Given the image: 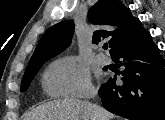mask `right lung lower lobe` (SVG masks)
Instances as JSON below:
<instances>
[{
    "mask_svg": "<svg viewBox=\"0 0 165 120\" xmlns=\"http://www.w3.org/2000/svg\"><path fill=\"white\" fill-rule=\"evenodd\" d=\"M125 66L117 86L116 78L99 90L103 106L130 120H165V60L147 31L137 41L112 56Z\"/></svg>",
    "mask_w": 165,
    "mask_h": 120,
    "instance_id": "98d812e1",
    "label": "right lung lower lobe"
}]
</instances>
